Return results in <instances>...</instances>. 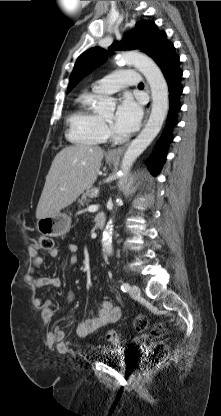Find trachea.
Wrapping results in <instances>:
<instances>
[{"label":"trachea","mask_w":221,"mask_h":416,"mask_svg":"<svg viewBox=\"0 0 221 416\" xmlns=\"http://www.w3.org/2000/svg\"><path fill=\"white\" fill-rule=\"evenodd\" d=\"M143 86L144 84L142 82L138 85V87H143Z\"/></svg>","instance_id":"obj_1"}]
</instances>
